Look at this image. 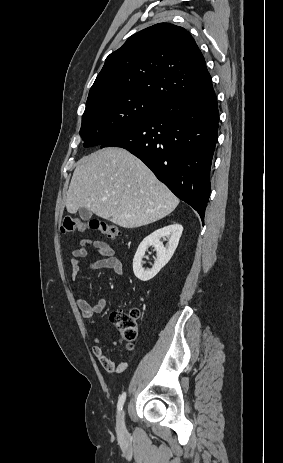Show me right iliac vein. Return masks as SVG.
<instances>
[{
  "mask_svg": "<svg viewBox=\"0 0 283 463\" xmlns=\"http://www.w3.org/2000/svg\"><path fill=\"white\" fill-rule=\"evenodd\" d=\"M117 432L121 439H124L127 435V428L125 424L124 411H120L117 417Z\"/></svg>",
  "mask_w": 283,
  "mask_h": 463,
  "instance_id": "right-iliac-vein-1",
  "label": "right iliac vein"
}]
</instances>
